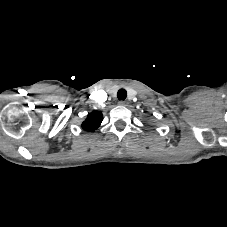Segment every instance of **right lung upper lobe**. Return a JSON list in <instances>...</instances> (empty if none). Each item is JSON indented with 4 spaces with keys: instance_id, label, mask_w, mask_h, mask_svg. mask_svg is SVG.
Instances as JSON below:
<instances>
[{
    "instance_id": "obj_1",
    "label": "right lung upper lobe",
    "mask_w": 227,
    "mask_h": 227,
    "mask_svg": "<svg viewBox=\"0 0 227 227\" xmlns=\"http://www.w3.org/2000/svg\"><path fill=\"white\" fill-rule=\"evenodd\" d=\"M102 113L99 111H93L88 114L86 120L82 123V128L86 131L96 130L102 122Z\"/></svg>"
}]
</instances>
